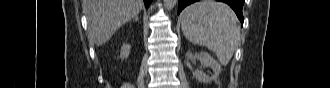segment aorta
Masks as SVG:
<instances>
[{"label":"aorta","instance_id":"1","mask_svg":"<svg viewBox=\"0 0 330 88\" xmlns=\"http://www.w3.org/2000/svg\"><path fill=\"white\" fill-rule=\"evenodd\" d=\"M177 4V0H164V6L167 10H172Z\"/></svg>","mask_w":330,"mask_h":88}]
</instances>
